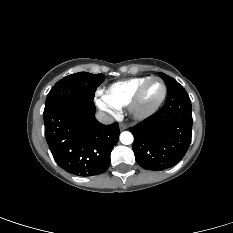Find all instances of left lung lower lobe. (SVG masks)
I'll use <instances>...</instances> for the list:
<instances>
[{"label":"left lung lower lobe","mask_w":233,"mask_h":233,"mask_svg":"<svg viewBox=\"0 0 233 233\" xmlns=\"http://www.w3.org/2000/svg\"><path fill=\"white\" fill-rule=\"evenodd\" d=\"M130 131L135 159L142 168L161 171L176 165L191 143V101L186 90L168 94L159 111Z\"/></svg>","instance_id":"left-lung-lower-lobe-1"}]
</instances>
